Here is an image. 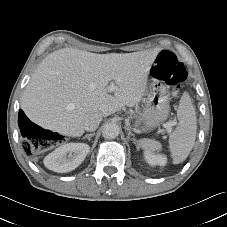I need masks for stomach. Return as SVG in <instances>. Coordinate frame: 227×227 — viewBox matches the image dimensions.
Segmentation results:
<instances>
[{
    "mask_svg": "<svg viewBox=\"0 0 227 227\" xmlns=\"http://www.w3.org/2000/svg\"><path fill=\"white\" fill-rule=\"evenodd\" d=\"M170 98L166 87L153 78L146 91L142 114V131L149 132L160 126L169 116Z\"/></svg>",
    "mask_w": 227,
    "mask_h": 227,
    "instance_id": "stomach-1",
    "label": "stomach"
}]
</instances>
